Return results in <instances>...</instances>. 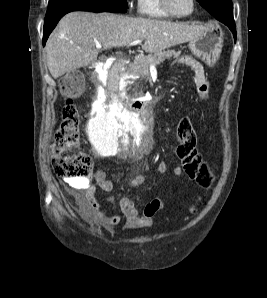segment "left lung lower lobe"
Listing matches in <instances>:
<instances>
[{
  "label": "left lung lower lobe",
  "instance_id": "left-lung-lower-lobe-1",
  "mask_svg": "<svg viewBox=\"0 0 267 298\" xmlns=\"http://www.w3.org/2000/svg\"><path fill=\"white\" fill-rule=\"evenodd\" d=\"M219 21H221L222 23H224L225 25H227L229 27V29L232 31L233 36L236 40V27H235L233 16L226 17Z\"/></svg>",
  "mask_w": 267,
  "mask_h": 298
}]
</instances>
